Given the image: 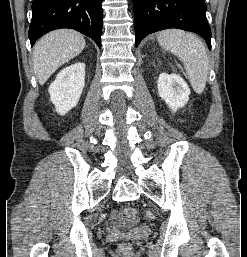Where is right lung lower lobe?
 <instances>
[{"label":"right lung lower lobe","mask_w":247,"mask_h":257,"mask_svg":"<svg viewBox=\"0 0 247 257\" xmlns=\"http://www.w3.org/2000/svg\"><path fill=\"white\" fill-rule=\"evenodd\" d=\"M102 0H33L29 27L31 46L45 33L75 29L92 38L101 47Z\"/></svg>","instance_id":"1"}]
</instances>
